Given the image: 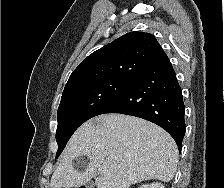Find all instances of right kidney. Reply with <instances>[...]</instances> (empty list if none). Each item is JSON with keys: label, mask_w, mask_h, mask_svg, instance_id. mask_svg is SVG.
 <instances>
[{"label": "right kidney", "mask_w": 224, "mask_h": 188, "mask_svg": "<svg viewBox=\"0 0 224 188\" xmlns=\"http://www.w3.org/2000/svg\"><path fill=\"white\" fill-rule=\"evenodd\" d=\"M139 188H164L161 183H151L140 186Z\"/></svg>", "instance_id": "1"}]
</instances>
